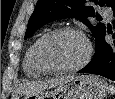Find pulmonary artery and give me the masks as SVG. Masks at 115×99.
<instances>
[{"mask_svg":"<svg viewBox=\"0 0 115 99\" xmlns=\"http://www.w3.org/2000/svg\"><path fill=\"white\" fill-rule=\"evenodd\" d=\"M103 15L106 17V18H110L111 17V11L108 10V9H104L102 11Z\"/></svg>","mask_w":115,"mask_h":99,"instance_id":"pulmonary-artery-1","label":"pulmonary artery"}]
</instances>
